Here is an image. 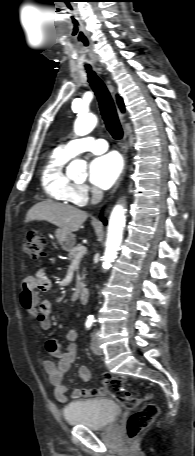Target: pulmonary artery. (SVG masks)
<instances>
[{"mask_svg":"<svg viewBox=\"0 0 195 456\" xmlns=\"http://www.w3.org/2000/svg\"><path fill=\"white\" fill-rule=\"evenodd\" d=\"M60 149L69 157H74L82 152L90 151L100 154L108 149V144L104 139H94L93 137L78 138L62 145Z\"/></svg>","mask_w":195,"mask_h":456,"instance_id":"obj_1","label":"pulmonary artery"}]
</instances>
